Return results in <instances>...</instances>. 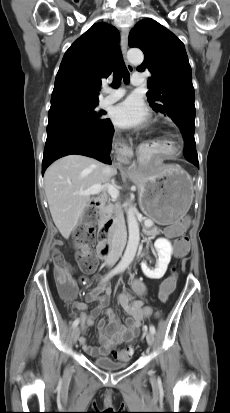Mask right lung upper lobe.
Returning <instances> with one entry per match:
<instances>
[{"mask_svg":"<svg viewBox=\"0 0 230 413\" xmlns=\"http://www.w3.org/2000/svg\"><path fill=\"white\" fill-rule=\"evenodd\" d=\"M119 32L112 25L96 23L66 51L56 75L51 108L98 104L101 79L113 70Z\"/></svg>","mask_w":230,"mask_h":413,"instance_id":"cb5924a9","label":"right lung upper lobe"}]
</instances>
